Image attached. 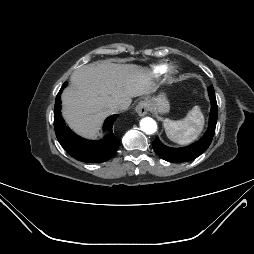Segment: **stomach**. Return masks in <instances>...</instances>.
Segmentation results:
<instances>
[{"mask_svg":"<svg viewBox=\"0 0 254 254\" xmlns=\"http://www.w3.org/2000/svg\"><path fill=\"white\" fill-rule=\"evenodd\" d=\"M150 109L156 114H165L170 110V104L165 93L149 98Z\"/></svg>","mask_w":254,"mask_h":254,"instance_id":"stomach-1","label":"stomach"}]
</instances>
